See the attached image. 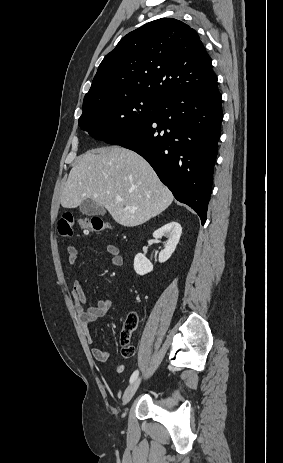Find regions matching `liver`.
I'll return each instance as SVG.
<instances>
[{
	"label": "liver",
	"instance_id": "6515ba94",
	"mask_svg": "<svg viewBox=\"0 0 283 463\" xmlns=\"http://www.w3.org/2000/svg\"><path fill=\"white\" fill-rule=\"evenodd\" d=\"M173 198L145 159L112 146L89 150L79 158L62 190L61 205L76 208L90 199L120 225L134 227L162 213Z\"/></svg>",
	"mask_w": 283,
	"mask_h": 463
}]
</instances>
